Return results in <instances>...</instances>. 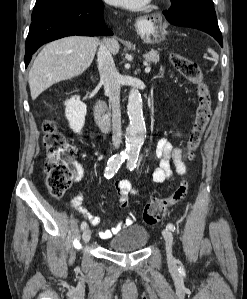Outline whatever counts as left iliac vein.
Here are the masks:
<instances>
[{"instance_id": "obj_1", "label": "left iliac vein", "mask_w": 247, "mask_h": 299, "mask_svg": "<svg viewBox=\"0 0 247 299\" xmlns=\"http://www.w3.org/2000/svg\"><path fill=\"white\" fill-rule=\"evenodd\" d=\"M163 237L165 239L166 243V253H167V259L170 263L174 262V257L172 255V246H173V235L170 230L164 229L162 231Z\"/></svg>"}]
</instances>
